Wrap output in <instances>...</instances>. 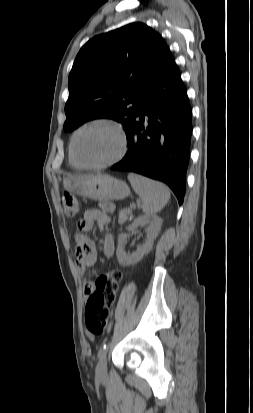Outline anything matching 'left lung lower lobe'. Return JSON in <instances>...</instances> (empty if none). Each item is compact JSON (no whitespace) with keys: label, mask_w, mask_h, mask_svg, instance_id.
<instances>
[{"label":"left lung lower lobe","mask_w":253,"mask_h":413,"mask_svg":"<svg viewBox=\"0 0 253 413\" xmlns=\"http://www.w3.org/2000/svg\"><path fill=\"white\" fill-rule=\"evenodd\" d=\"M126 134L129 149L111 169L166 183L181 205L190 156L192 109L174 59L146 94Z\"/></svg>","instance_id":"0a47b994"}]
</instances>
